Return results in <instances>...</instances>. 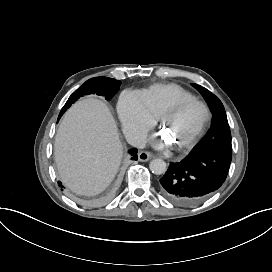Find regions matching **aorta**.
<instances>
[{
    "mask_svg": "<svg viewBox=\"0 0 272 272\" xmlns=\"http://www.w3.org/2000/svg\"><path fill=\"white\" fill-rule=\"evenodd\" d=\"M149 168L152 173L162 175L167 171V165L163 159H154L150 162Z\"/></svg>",
    "mask_w": 272,
    "mask_h": 272,
    "instance_id": "762f6f07",
    "label": "aorta"
}]
</instances>
